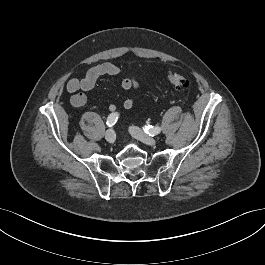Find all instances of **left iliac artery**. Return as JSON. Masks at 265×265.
Listing matches in <instances>:
<instances>
[{
    "label": "left iliac artery",
    "mask_w": 265,
    "mask_h": 265,
    "mask_svg": "<svg viewBox=\"0 0 265 265\" xmlns=\"http://www.w3.org/2000/svg\"><path fill=\"white\" fill-rule=\"evenodd\" d=\"M144 131L147 134H149V136H154V135L159 134L161 132V128L148 125V126H145Z\"/></svg>",
    "instance_id": "1"
}]
</instances>
